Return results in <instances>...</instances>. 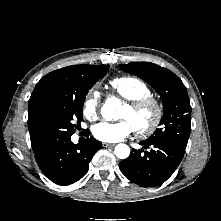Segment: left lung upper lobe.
Segmentation results:
<instances>
[{"mask_svg": "<svg viewBox=\"0 0 221 221\" xmlns=\"http://www.w3.org/2000/svg\"><path fill=\"white\" fill-rule=\"evenodd\" d=\"M121 70L149 83L161 96L164 114L160 128L147 140L166 142L186 149L191 132V106L186 87L170 70L150 62L121 64Z\"/></svg>", "mask_w": 221, "mask_h": 221, "instance_id": "1", "label": "left lung upper lobe"}]
</instances>
